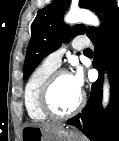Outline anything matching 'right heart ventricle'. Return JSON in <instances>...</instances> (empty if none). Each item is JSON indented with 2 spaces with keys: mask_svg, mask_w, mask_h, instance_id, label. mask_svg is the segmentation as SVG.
<instances>
[{
  "mask_svg": "<svg viewBox=\"0 0 119 141\" xmlns=\"http://www.w3.org/2000/svg\"><path fill=\"white\" fill-rule=\"evenodd\" d=\"M56 70L55 67L43 62L29 77L24 92V105L29 117L36 121H44L47 116L39 105V93L46 79Z\"/></svg>",
  "mask_w": 119,
  "mask_h": 141,
  "instance_id": "e07e8e85",
  "label": "right heart ventricle"
}]
</instances>
